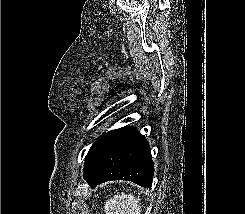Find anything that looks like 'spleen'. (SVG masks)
Instances as JSON below:
<instances>
[{"label": "spleen", "mask_w": 245, "mask_h": 214, "mask_svg": "<svg viewBox=\"0 0 245 214\" xmlns=\"http://www.w3.org/2000/svg\"><path fill=\"white\" fill-rule=\"evenodd\" d=\"M104 212L105 214H140V199L132 193L116 194L105 202Z\"/></svg>", "instance_id": "1"}]
</instances>
